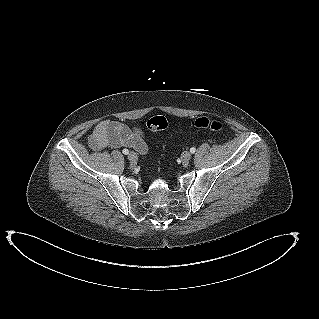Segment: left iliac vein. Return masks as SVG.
<instances>
[{
  "label": "left iliac vein",
  "instance_id": "1",
  "mask_svg": "<svg viewBox=\"0 0 319 319\" xmlns=\"http://www.w3.org/2000/svg\"><path fill=\"white\" fill-rule=\"evenodd\" d=\"M191 159V153L189 151H184L181 155V160L183 163H188Z\"/></svg>",
  "mask_w": 319,
  "mask_h": 319
}]
</instances>
